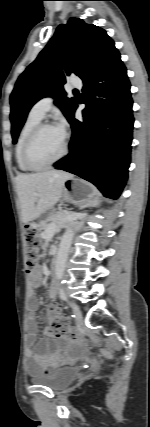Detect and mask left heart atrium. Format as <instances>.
I'll return each instance as SVG.
<instances>
[{
  "label": "left heart atrium",
  "instance_id": "left-heart-atrium-1",
  "mask_svg": "<svg viewBox=\"0 0 150 427\" xmlns=\"http://www.w3.org/2000/svg\"><path fill=\"white\" fill-rule=\"evenodd\" d=\"M58 128L62 131V133L66 136L67 135V123L65 121H62Z\"/></svg>",
  "mask_w": 150,
  "mask_h": 427
}]
</instances>
